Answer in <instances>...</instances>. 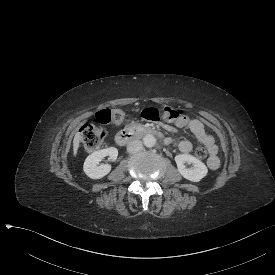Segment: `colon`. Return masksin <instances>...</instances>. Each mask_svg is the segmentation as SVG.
Here are the masks:
<instances>
[{
  "instance_id": "colon-1",
  "label": "colon",
  "mask_w": 275,
  "mask_h": 275,
  "mask_svg": "<svg viewBox=\"0 0 275 275\" xmlns=\"http://www.w3.org/2000/svg\"><path fill=\"white\" fill-rule=\"evenodd\" d=\"M141 115L147 121L171 123L183 117L184 112L168 106L164 108L147 107L142 110ZM123 120L124 112L121 109L98 111L91 122L83 124L79 129L84 149L89 152L100 150L107 136L106 126L120 124ZM195 155L199 159H204L207 157V150L204 147H197Z\"/></svg>"
}]
</instances>
